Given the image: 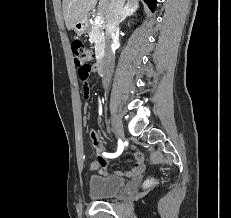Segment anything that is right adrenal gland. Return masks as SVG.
<instances>
[{
    "mask_svg": "<svg viewBox=\"0 0 231 218\" xmlns=\"http://www.w3.org/2000/svg\"><path fill=\"white\" fill-rule=\"evenodd\" d=\"M136 10H137L136 8L130 7L129 3H127L125 7V13L121 22H123L128 16H133Z\"/></svg>",
    "mask_w": 231,
    "mask_h": 218,
    "instance_id": "1",
    "label": "right adrenal gland"
}]
</instances>
